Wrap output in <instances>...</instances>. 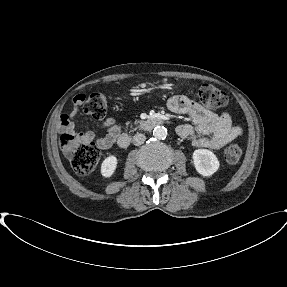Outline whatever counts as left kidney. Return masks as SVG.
<instances>
[{"mask_svg":"<svg viewBox=\"0 0 287 287\" xmlns=\"http://www.w3.org/2000/svg\"><path fill=\"white\" fill-rule=\"evenodd\" d=\"M192 157L195 169L202 176H211L219 168L218 158L208 149H197Z\"/></svg>","mask_w":287,"mask_h":287,"instance_id":"1","label":"left kidney"}]
</instances>
